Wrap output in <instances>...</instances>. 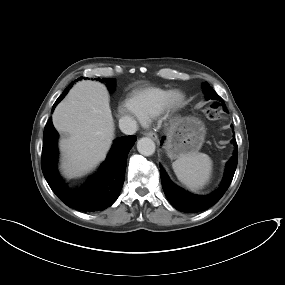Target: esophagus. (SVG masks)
Returning <instances> with one entry per match:
<instances>
[{"label":"esophagus","instance_id":"34e87169","mask_svg":"<svg viewBox=\"0 0 285 285\" xmlns=\"http://www.w3.org/2000/svg\"><path fill=\"white\" fill-rule=\"evenodd\" d=\"M146 136L150 137L153 140H158V135L154 132H148L146 133Z\"/></svg>","mask_w":285,"mask_h":285}]
</instances>
